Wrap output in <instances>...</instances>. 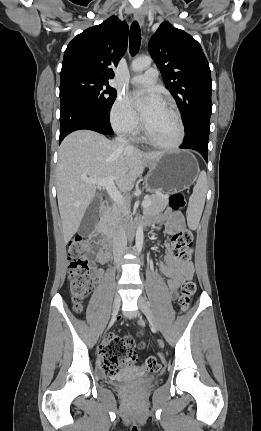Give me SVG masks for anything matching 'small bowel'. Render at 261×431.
<instances>
[{
	"instance_id": "small-bowel-1",
	"label": "small bowel",
	"mask_w": 261,
	"mask_h": 431,
	"mask_svg": "<svg viewBox=\"0 0 261 431\" xmlns=\"http://www.w3.org/2000/svg\"><path fill=\"white\" fill-rule=\"evenodd\" d=\"M153 221H164L172 230L182 227L184 223L183 216L180 213L172 212L170 210H166L161 216L148 217L145 220L146 223H151ZM164 246L166 252L163 262L160 263V271L164 276L168 277V293L170 297L175 298L178 294L181 284L193 276L194 269L190 262L179 264L176 261L171 253V247L169 243H165ZM89 255L91 258V264L93 266L94 279L98 282L103 275V270L96 268V265L107 264L109 262V257L102 248L96 247H93L89 250ZM135 360L136 357L134 356L132 363H134Z\"/></svg>"
}]
</instances>
